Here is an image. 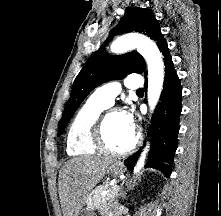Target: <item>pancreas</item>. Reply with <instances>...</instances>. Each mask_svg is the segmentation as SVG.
I'll return each mask as SVG.
<instances>
[{
	"mask_svg": "<svg viewBox=\"0 0 221 216\" xmlns=\"http://www.w3.org/2000/svg\"><path fill=\"white\" fill-rule=\"evenodd\" d=\"M107 189V185H102L96 188L88 197L87 206L90 209H99L101 212L108 210V206L112 203L118 195V188L110 189L106 195L101 192Z\"/></svg>",
	"mask_w": 221,
	"mask_h": 216,
	"instance_id": "cf45deb5",
	"label": "pancreas"
}]
</instances>
